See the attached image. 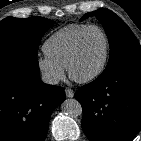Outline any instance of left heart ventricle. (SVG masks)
Here are the masks:
<instances>
[{
	"instance_id": "b2bd125f",
	"label": "left heart ventricle",
	"mask_w": 141,
	"mask_h": 141,
	"mask_svg": "<svg viewBox=\"0 0 141 141\" xmlns=\"http://www.w3.org/2000/svg\"><path fill=\"white\" fill-rule=\"evenodd\" d=\"M105 49L103 35L98 30L89 31L81 45L80 53L73 65V72L78 77L93 73L101 64Z\"/></svg>"
}]
</instances>
